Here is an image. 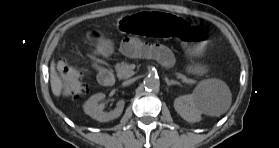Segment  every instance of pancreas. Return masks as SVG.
Segmentation results:
<instances>
[{
  "mask_svg": "<svg viewBox=\"0 0 279 148\" xmlns=\"http://www.w3.org/2000/svg\"><path fill=\"white\" fill-rule=\"evenodd\" d=\"M116 71H117V77L119 79H126L131 77L132 75H134V71L132 70V68L130 67V65L126 62H121L116 64ZM176 77L178 79H181V81L183 83H187V84H194L196 83L195 80L192 79H188L185 75H183L182 73H175Z\"/></svg>",
  "mask_w": 279,
  "mask_h": 148,
  "instance_id": "cf45deb5",
  "label": "pancreas"
}]
</instances>
